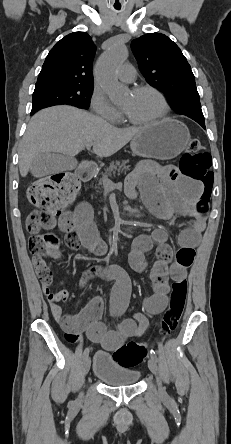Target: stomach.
<instances>
[{"mask_svg": "<svg viewBox=\"0 0 231 444\" xmlns=\"http://www.w3.org/2000/svg\"><path fill=\"white\" fill-rule=\"evenodd\" d=\"M190 139L188 128L172 118L146 126L131 141L134 155L144 158L168 160L178 156ZM82 164V167L86 166Z\"/></svg>", "mask_w": 231, "mask_h": 444, "instance_id": "0dacf381", "label": "stomach"}]
</instances>
